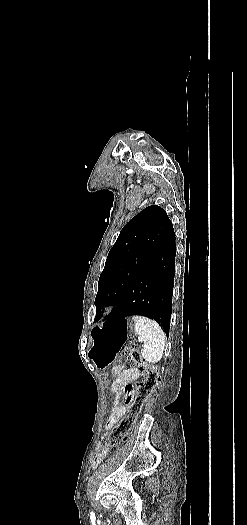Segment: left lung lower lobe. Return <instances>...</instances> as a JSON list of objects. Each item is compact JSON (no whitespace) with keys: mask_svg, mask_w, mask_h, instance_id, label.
<instances>
[{"mask_svg":"<svg viewBox=\"0 0 247 525\" xmlns=\"http://www.w3.org/2000/svg\"><path fill=\"white\" fill-rule=\"evenodd\" d=\"M175 233L172 223L163 233L125 296L107 315L106 322L143 315L157 321L169 335L175 273Z\"/></svg>","mask_w":247,"mask_h":525,"instance_id":"left-lung-lower-lobe-1","label":"left lung lower lobe"}]
</instances>
